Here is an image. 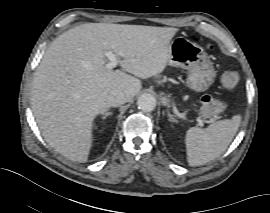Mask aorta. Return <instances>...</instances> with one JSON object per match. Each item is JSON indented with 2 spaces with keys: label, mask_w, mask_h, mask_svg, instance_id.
<instances>
[{
  "label": "aorta",
  "mask_w": 270,
  "mask_h": 213,
  "mask_svg": "<svg viewBox=\"0 0 270 213\" xmlns=\"http://www.w3.org/2000/svg\"><path fill=\"white\" fill-rule=\"evenodd\" d=\"M138 108L144 112H150L156 107V98L149 93L142 94L137 100Z\"/></svg>",
  "instance_id": "762f6f07"
}]
</instances>
